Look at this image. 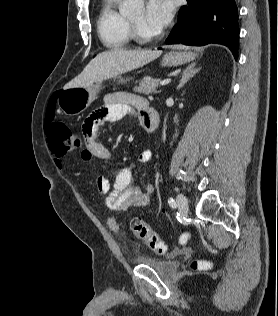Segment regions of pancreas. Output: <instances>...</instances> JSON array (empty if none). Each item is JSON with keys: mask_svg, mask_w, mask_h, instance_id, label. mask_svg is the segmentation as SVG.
<instances>
[{"mask_svg": "<svg viewBox=\"0 0 278 316\" xmlns=\"http://www.w3.org/2000/svg\"><path fill=\"white\" fill-rule=\"evenodd\" d=\"M159 82H160L159 79L146 77L141 81V83L139 84V87L134 88V91L140 94L157 93L156 87L158 86Z\"/></svg>", "mask_w": 278, "mask_h": 316, "instance_id": "pancreas-1", "label": "pancreas"}]
</instances>
